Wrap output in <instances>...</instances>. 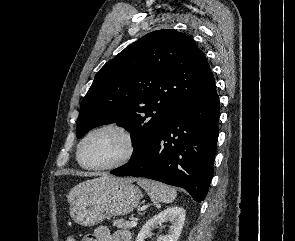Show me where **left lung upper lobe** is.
<instances>
[{
	"instance_id": "obj_1",
	"label": "left lung upper lobe",
	"mask_w": 295,
	"mask_h": 241,
	"mask_svg": "<svg viewBox=\"0 0 295 241\" xmlns=\"http://www.w3.org/2000/svg\"><path fill=\"white\" fill-rule=\"evenodd\" d=\"M214 85L206 57L190 36L173 29L148 33L96 74L81 102L77 137L117 123L131 134L132 159L174 113Z\"/></svg>"
}]
</instances>
